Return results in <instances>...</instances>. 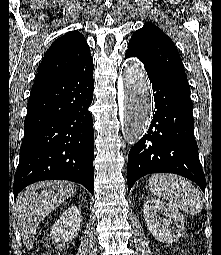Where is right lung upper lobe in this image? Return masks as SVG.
I'll list each match as a JSON object with an SVG mask.
<instances>
[{
  "label": "right lung upper lobe",
  "mask_w": 221,
  "mask_h": 255,
  "mask_svg": "<svg viewBox=\"0 0 221 255\" xmlns=\"http://www.w3.org/2000/svg\"><path fill=\"white\" fill-rule=\"evenodd\" d=\"M90 59V48L84 36L77 31L68 32L56 39L45 53L34 84L63 76Z\"/></svg>",
  "instance_id": "obj_1"
}]
</instances>
